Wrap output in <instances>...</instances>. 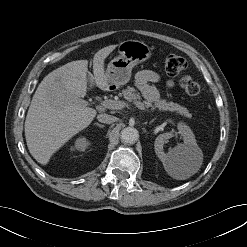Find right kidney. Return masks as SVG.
Here are the masks:
<instances>
[{"label":"right kidney","instance_id":"obj_1","mask_svg":"<svg viewBox=\"0 0 247 247\" xmlns=\"http://www.w3.org/2000/svg\"><path fill=\"white\" fill-rule=\"evenodd\" d=\"M90 145V142L88 141V139H86V137H78L73 146H71L70 150L71 151H85V149Z\"/></svg>","mask_w":247,"mask_h":247}]
</instances>
